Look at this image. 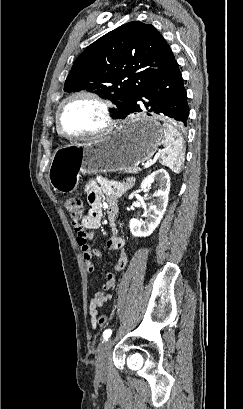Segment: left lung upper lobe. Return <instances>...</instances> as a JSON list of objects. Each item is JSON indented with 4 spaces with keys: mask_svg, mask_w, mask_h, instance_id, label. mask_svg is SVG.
Returning a JSON list of instances; mask_svg holds the SVG:
<instances>
[{
    "mask_svg": "<svg viewBox=\"0 0 243 409\" xmlns=\"http://www.w3.org/2000/svg\"><path fill=\"white\" fill-rule=\"evenodd\" d=\"M175 62L170 46L153 25L129 22L78 56L64 90L89 88L115 103V118H124L142 89Z\"/></svg>",
    "mask_w": 243,
    "mask_h": 409,
    "instance_id": "1",
    "label": "left lung upper lobe"
}]
</instances>
